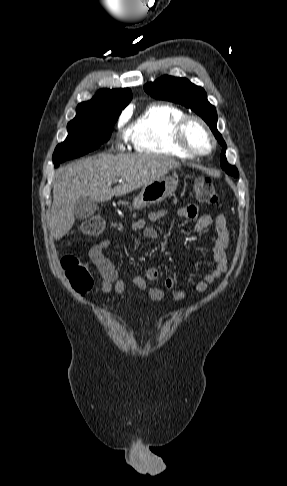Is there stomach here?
I'll use <instances>...</instances> for the list:
<instances>
[{"label": "stomach", "instance_id": "0dacf381", "mask_svg": "<svg viewBox=\"0 0 287 486\" xmlns=\"http://www.w3.org/2000/svg\"><path fill=\"white\" fill-rule=\"evenodd\" d=\"M178 182L172 177H162L142 187L133 199V208L142 209L156 204L170 196L177 188Z\"/></svg>", "mask_w": 287, "mask_h": 486}]
</instances>
